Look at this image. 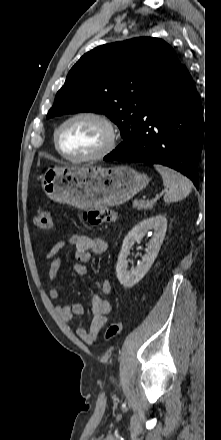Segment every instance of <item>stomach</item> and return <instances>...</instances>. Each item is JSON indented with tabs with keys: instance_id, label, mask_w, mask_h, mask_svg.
<instances>
[{
	"instance_id": "stomach-1",
	"label": "stomach",
	"mask_w": 221,
	"mask_h": 440,
	"mask_svg": "<svg viewBox=\"0 0 221 440\" xmlns=\"http://www.w3.org/2000/svg\"><path fill=\"white\" fill-rule=\"evenodd\" d=\"M148 183L146 174L128 166L55 167L41 181L50 199L82 210L121 205Z\"/></svg>"
}]
</instances>
